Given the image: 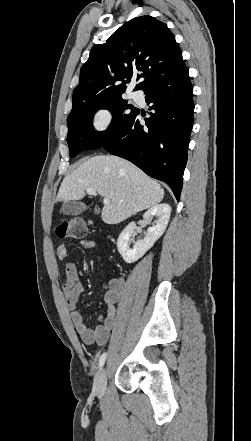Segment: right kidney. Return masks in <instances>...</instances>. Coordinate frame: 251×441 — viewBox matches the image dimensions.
<instances>
[{"label":"right kidney","mask_w":251,"mask_h":441,"mask_svg":"<svg viewBox=\"0 0 251 441\" xmlns=\"http://www.w3.org/2000/svg\"><path fill=\"white\" fill-rule=\"evenodd\" d=\"M171 214V207L169 204H157L151 207L144 213L143 219L150 221L154 216L158 218L155 225L148 228L143 240L134 242L133 248H130V243L133 241L134 230L136 228L135 222H131L121 232L117 240L118 252L126 263H134L140 259L163 235Z\"/></svg>","instance_id":"1"}]
</instances>
